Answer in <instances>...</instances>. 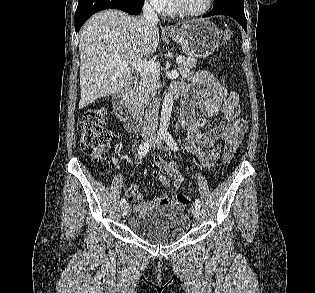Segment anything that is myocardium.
I'll list each match as a JSON object with an SVG mask.
<instances>
[{
	"instance_id": "myocardium-1",
	"label": "myocardium",
	"mask_w": 315,
	"mask_h": 293,
	"mask_svg": "<svg viewBox=\"0 0 315 293\" xmlns=\"http://www.w3.org/2000/svg\"><path fill=\"white\" fill-rule=\"evenodd\" d=\"M174 10L184 16L196 17L206 14L212 7L214 0H207L206 6L199 11H190L183 7L180 0H171Z\"/></svg>"
}]
</instances>
